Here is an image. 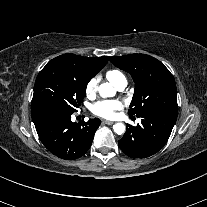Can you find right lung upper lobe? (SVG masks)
<instances>
[{"label": "right lung upper lobe", "instance_id": "cb5924a9", "mask_svg": "<svg viewBox=\"0 0 207 207\" xmlns=\"http://www.w3.org/2000/svg\"><path fill=\"white\" fill-rule=\"evenodd\" d=\"M55 59L64 60L80 67L83 72L91 79L97 74L108 62V56L98 58H86L79 55L63 54Z\"/></svg>", "mask_w": 207, "mask_h": 207}]
</instances>
